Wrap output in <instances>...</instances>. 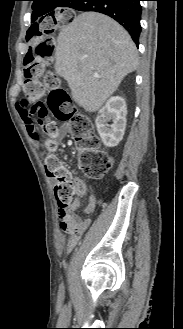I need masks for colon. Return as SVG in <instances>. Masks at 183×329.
Here are the masks:
<instances>
[{
  "label": "colon",
  "mask_w": 183,
  "mask_h": 329,
  "mask_svg": "<svg viewBox=\"0 0 183 329\" xmlns=\"http://www.w3.org/2000/svg\"><path fill=\"white\" fill-rule=\"evenodd\" d=\"M73 14L61 10L58 14H41V19H35L34 25L27 31L29 50L23 60L25 77L24 96H17L19 114H36L38 121L34 129L42 131L49 137L56 133V125L52 116L67 121L77 147L80 149L79 163L84 175L90 179H101L111 168L112 158L99 149L91 120L77 113L70 102L68 93L58 86V80L52 73L40 74L43 67L40 62H49L55 48L54 38H58L62 26H69ZM38 81H46L51 88L46 105L41 100L42 89ZM48 154L44 160V170L47 176L56 181L54 193L60 212L68 213L79 203V190L75 179L68 173L64 164L53 153L54 142H46ZM62 229L74 236L79 235L78 225L64 223Z\"/></svg>",
  "instance_id": "5ec220e1"
}]
</instances>
